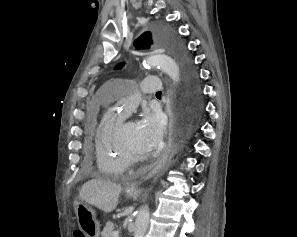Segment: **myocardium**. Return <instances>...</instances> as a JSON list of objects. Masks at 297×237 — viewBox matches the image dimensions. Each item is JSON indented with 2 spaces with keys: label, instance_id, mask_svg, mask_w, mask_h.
<instances>
[{
  "label": "myocardium",
  "instance_id": "1",
  "mask_svg": "<svg viewBox=\"0 0 297 237\" xmlns=\"http://www.w3.org/2000/svg\"><path fill=\"white\" fill-rule=\"evenodd\" d=\"M126 122L123 121L116 132V141L117 144L129 162V164H135V163H142L144 161H147L153 157V154L148 152V153H135L128 145L124 138V128H125Z\"/></svg>",
  "mask_w": 297,
  "mask_h": 237
}]
</instances>
